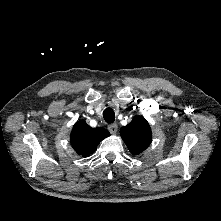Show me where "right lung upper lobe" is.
<instances>
[{
    "instance_id": "obj_1",
    "label": "right lung upper lobe",
    "mask_w": 221,
    "mask_h": 221,
    "mask_svg": "<svg viewBox=\"0 0 221 221\" xmlns=\"http://www.w3.org/2000/svg\"><path fill=\"white\" fill-rule=\"evenodd\" d=\"M110 133L101 127L91 128L84 120H79L73 126L70 141L73 149L81 156L92 154L98 144Z\"/></svg>"
}]
</instances>
